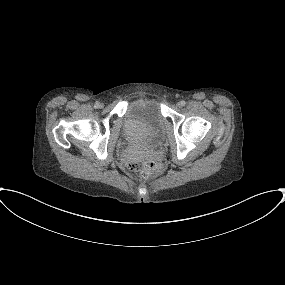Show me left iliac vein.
<instances>
[{
	"label": "left iliac vein",
	"instance_id": "1",
	"mask_svg": "<svg viewBox=\"0 0 285 285\" xmlns=\"http://www.w3.org/2000/svg\"><path fill=\"white\" fill-rule=\"evenodd\" d=\"M181 106V103H177V107H180Z\"/></svg>",
	"mask_w": 285,
	"mask_h": 285
}]
</instances>
